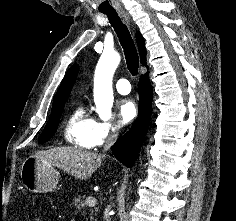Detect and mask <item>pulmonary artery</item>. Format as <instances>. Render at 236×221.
Listing matches in <instances>:
<instances>
[{
    "label": "pulmonary artery",
    "mask_w": 236,
    "mask_h": 221,
    "mask_svg": "<svg viewBox=\"0 0 236 221\" xmlns=\"http://www.w3.org/2000/svg\"><path fill=\"white\" fill-rule=\"evenodd\" d=\"M115 88L118 91V93L122 95H126L131 91V85L129 81L124 78L117 80Z\"/></svg>",
    "instance_id": "1"
}]
</instances>
